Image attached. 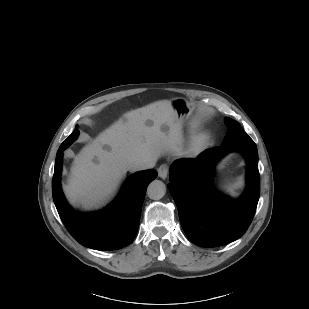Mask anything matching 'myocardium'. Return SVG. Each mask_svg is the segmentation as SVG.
Instances as JSON below:
<instances>
[{"mask_svg": "<svg viewBox=\"0 0 309 309\" xmlns=\"http://www.w3.org/2000/svg\"><path fill=\"white\" fill-rule=\"evenodd\" d=\"M207 138L208 135L205 132L195 135L190 145V152L195 154L201 151L206 144Z\"/></svg>", "mask_w": 309, "mask_h": 309, "instance_id": "f54148a6", "label": "myocardium"}]
</instances>
